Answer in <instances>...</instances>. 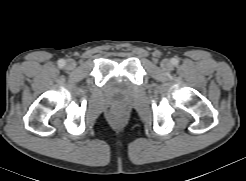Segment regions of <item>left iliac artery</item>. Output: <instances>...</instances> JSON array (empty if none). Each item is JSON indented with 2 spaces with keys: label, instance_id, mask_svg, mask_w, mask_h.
<instances>
[{
  "label": "left iliac artery",
  "instance_id": "1",
  "mask_svg": "<svg viewBox=\"0 0 246 181\" xmlns=\"http://www.w3.org/2000/svg\"><path fill=\"white\" fill-rule=\"evenodd\" d=\"M177 62H178V61H177L176 59H174V58L172 59V63H173V64H176Z\"/></svg>",
  "mask_w": 246,
  "mask_h": 181
}]
</instances>
